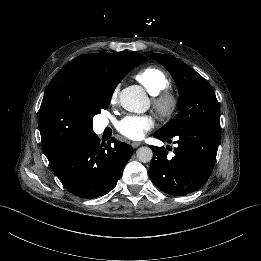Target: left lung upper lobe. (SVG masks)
<instances>
[{
  "mask_svg": "<svg viewBox=\"0 0 261 261\" xmlns=\"http://www.w3.org/2000/svg\"><path fill=\"white\" fill-rule=\"evenodd\" d=\"M149 57L170 72L180 95V113L156 132L172 138L195 126L220 130V108L211 85L194 69L173 56L152 54Z\"/></svg>",
  "mask_w": 261,
  "mask_h": 261,
  "instance_id": "5c2ea615",
  "label": "left lung upper lobe"
}]
</instances>
